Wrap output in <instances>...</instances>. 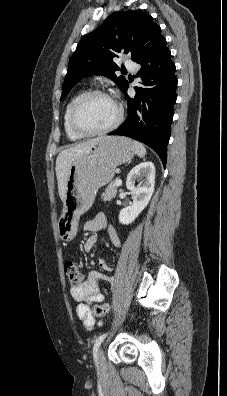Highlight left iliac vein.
<instances>
[{"label":"left iliac vein","mask_w":227,"mask_h":396,"mask_svg":"<svg viewBox=\"0 0 227 396\" xmlns=\"http://www.w3.org/2000/svg\"><path fill=\"white\" fill-rule=\"evenodd\" d=\"M97 366L99 371H104L106 368L105 358L102 348L99 349L97 354Z\"/></svg>","instance_id":"1"}]
</instances>
